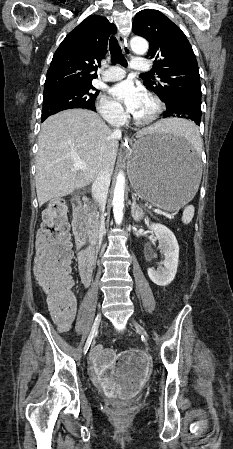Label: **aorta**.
<instances>
[{"label": "aorta", "instance_id": "aorta-1", "mask_svg": "<svg viewBox=\"0 0 233 449\" xmlns=\"http://www.w3.org/2000/svg\"><path fill=\"white\" fill-rule=\"evenodd\" d=\"M131 49L138 55H144L148 51V42L141 37H133L130 41ZM124 191H125V176L119 172L116 179V184L113 194V214L117 225H120L123 220L124 209Z\"/></svg>", "mask_w": 233, "mask_h": 449}]
</instances>
